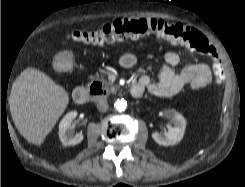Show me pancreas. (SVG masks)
<instances>
[{
	"mask_svg": "<svg viewBox=\"0 0 245 187\" xmlns=\"http://www.w3.org/2000/svg\"><path fill=\"white\" fill-rule=\"evenodd\" d=\"M92 81H100L103 84V89L107 92V94L115 93L117 91V86L112 82H109L104 79L103 75L97 74L96 76L91 77Z\"/></svg>",
	"mask_w": 245,
	"mask_h": 187,
	"instance_id": "cf45deb5",
	"label": "pancreas"
}]
</instances>
